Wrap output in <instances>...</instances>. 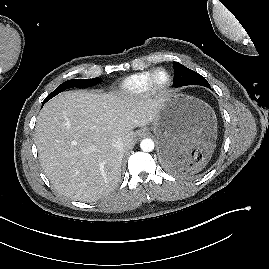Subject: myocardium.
<instances>
[{"mask_svg":"<svg viewBox=\"0 0 269 269\" xmlns=\"http://www.w3.org/2000/svg\"><path fill=\"white\" fill-rule=\"evenodd\" d=\"M160 74H165L166 76L165 81L162 83L158 81V76ZM172 83L173 78L171 73L167 69L159 67L152 72L151 77L149 79L147 91H149V93L152 95L162 96L168 92V90L172 86Z\"/></svg>","mask_w":269,"mask_h":269,"instance_id":"1","label":"myocardium"}]
</instances>
